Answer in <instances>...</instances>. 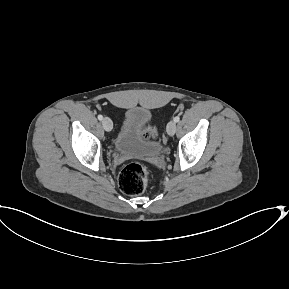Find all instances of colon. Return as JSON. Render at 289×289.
Returning <instances> with one entry per match:
<instances>
[{
	"label": "colon",
	"instance_id": "obj_1",
	"mask_svg": "<svg viewBox=\"0 0 289 289\" xmlns=\"http://www.w3.org/2000/svg\"><path fill=\"white\" fill-rule=\"evenodd\" d=\"M146 136L155 138L157 136L156 128L149 125L146 129ZM151 181V175L148 169L139 162L128 163L119 175V187L123 193L130 196H136L143 193Z\"/></svg>",
	"mask_w": 289,
	"mask_h": 289
}]
</instances>
